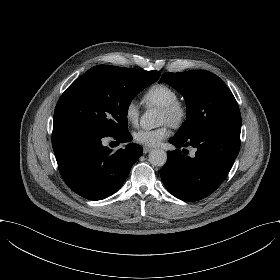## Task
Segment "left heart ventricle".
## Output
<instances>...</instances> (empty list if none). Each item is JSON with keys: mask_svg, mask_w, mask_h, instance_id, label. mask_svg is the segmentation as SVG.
I'll return each instance as SVG.
<instances>
[{"mask_svg": "<svg viewBox=\"0 0 280 280\" xmlns=\"http://www.w3.org/2000/svg\"><path fill=\"white\" fill-rule=\"evenodd\" d=\"M159 119H160V123H164V122H170V116L164 112L162 109H160V114H159Z\"/></svg>", "mask_w": 280, "mask_h": 280, "instance_id": "1", "label": "left heart ventricle"}]
</instances>
